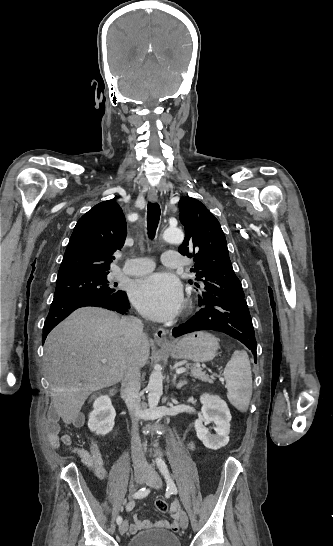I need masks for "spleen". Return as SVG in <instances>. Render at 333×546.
<instances>
[{"instance_id": "obj_1", "label": "spleen", "mask_w": 333, "mask_h": 546, "mask_svg": "<svg viewBox=\"0 0 333 546\" xmlns=\"http://www.w3.org/2000/svg\"><path fill=\"white\" fill-rule=\"evenodd\" d=\"M227 398L241 412H246L252 396V373L245 351H235L224 369Z\"/></svg>"}]
</instances>
